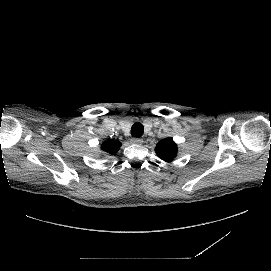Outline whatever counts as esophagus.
Wrapping results in <instances>:
<instances>
[{"label":"esophagus","mask_w":271,"mask_h":271,"mask_svg":"<svg viewBox=\"0 0 271 271\" xmlns=\"http://www.w3.org/2000/svg\"><path fill=\"white\" fill-rule=\"evenodd\" d=\"M130 142H131L132 144L141 145V144L143 143V139L137 138V137H132V138L130 139Z\"/></svg>","instance_id":"1"}]
</instances>
